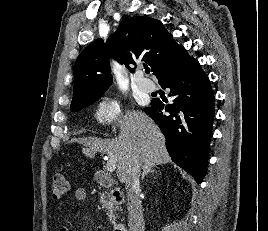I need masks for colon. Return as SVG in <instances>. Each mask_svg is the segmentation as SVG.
I'll list each match as a JSON object with an SVG mask.
<instances>
[{
  "instance_id": "obj_1",
  "label": "colon",
  "mask_w": 268,
  "mask_h": 231,
  "mask_svg": "<svg viewBox=\"0 0 268 231\" xmlns=\"http://www.w3.org/2000/svg\"><path fill=\"white\" fill-rule=\"evenodd\" d=\"M70 193L69 183L61 173H56L52 178L51 195L57 200H65Z\"/></svg>"
}]
</instances>
